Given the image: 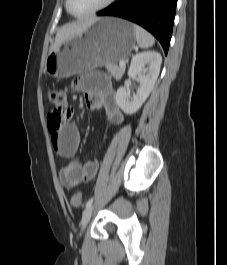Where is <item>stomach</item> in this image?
I'll return each mask as SVG.
<instances>
[{
    "instance_id": "1",
    "label": "stomach",
    "mask_w": 227,
    "mask_h": 265,
    "mask_svg": "<svg viewBox=\"0 0 227 265\" xmlns=\"http://www.w3.org/2000/svg\"><path fill=\"white\" fill-rule=\"evenodd\" d=\"M135 42L132 23L114 17L100 18L81 35L52 49L45 60V72L52 77L67 78L116 64L126 59Z\"/></svg>"
}]
</instances>
